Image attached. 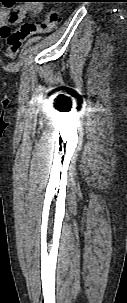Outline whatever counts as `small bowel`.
<instances>
[{
  "label": "small bowel",
  "mask_w": 127,
  "mask_h": 303,
  "mask_svg": "<svg viewBox=\"0 0 127 303\" xmlns=\"http://www.w3.org/2000/svg\"><path fill=\"white\" fill-rule=\"evenodd\" d=\"M13 10L0 9V38H5L11 31V26L19 24L27 15L35 16L42 5L39 0H24Z\"/></svg>",
  "instance_id": "obj_1"
}]
</instances>
